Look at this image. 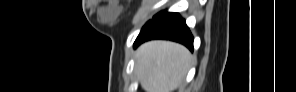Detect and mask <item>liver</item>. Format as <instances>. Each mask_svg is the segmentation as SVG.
I'll return each mask as SVG.
<instances>
[{
    "label": "liver",
    "mask_w": 296,
    "mask_h": 92,
    "mask_svg": "<svg viewBox=\"0 0 296 92\" xmlns=\"http://www.w3.org/2000/svg\"><path fill=\"white\" fill-rule=\"evenodd\" d=\"M135 71L145 92H173L193 63L190 51L181 44L153 40L135 54Z\"/></svg>",
    "instance_id": "1"
}]
</instances>
